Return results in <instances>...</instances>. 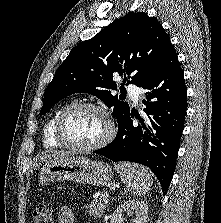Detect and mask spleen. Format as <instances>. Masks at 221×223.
<instances>
[{
	"label": "spleen",
	"mask_w": 221,
	"mask_h": 223,
	"mask_svg": "<svg viewBox=\"0 0 221 223\" xmlns=\"http://www.w3.org/2000/svg\"><path fill=\"white\" fill-rule=\"evenodd\" d=\"M126 188L134 196L145 194L152 185V177L149 172L138 164L120 162L114 164Z\"/></svg>",
	"instance_id": "obj_1"
}]
</instances>
